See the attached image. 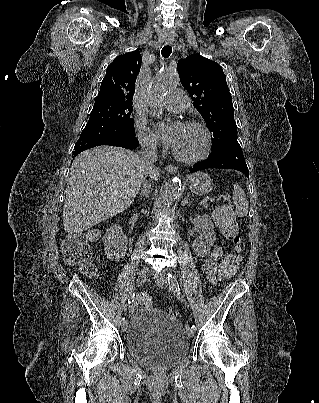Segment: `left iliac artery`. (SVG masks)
Instances as JSON below:
<instances>
[{
  "instance_id": "1",
  "label": "left iliac artery",
  "mask_w": 319,
  "mask_h": 403,
  "mask_svg": "<svg viewBox=\"0 0 319 403\" xmlns=\"http://www.w3.org/2000/svg\"><path fill=\"white\" fill-rule=\"evenodd\" d=\"M167 279H168V283H169V289L174 293V295H176L179 299L183 298L180 288H179L177 278L173 274L168 273ZM190 329L196 330V326L192 325L190 327Z\"/></svg>"
}]
</instances>
